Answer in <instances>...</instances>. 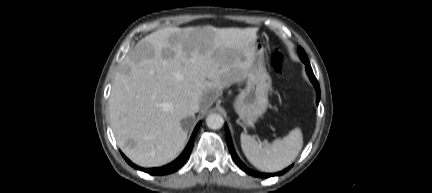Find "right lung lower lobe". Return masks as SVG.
I'll return each mask as SVG.
<instances>
[{"label": "right lung lower lobe", "mask_w": 432, "mask_h": 193, "mask_svg": "<svg viewBox=\"0 0 432 193\" xmlns=\"http://www.w3.org/2000/svg\"><path fill=\"white\" fill-rule=\"evenodd\" d=\"M200 124H201V122H199L198 124H197V126L195 127V129H194V131H193V134H192V136H191V138H190V141H189V143L187 144V146H186V148L184 149V151L182 152V154L175 160V161H173L172 163H170V164H168V165H165V166H163V167H159V168H151V169H144V168H141V167H138V166H136V165H134L131 161H129L123 154V157H124V159L132 166V167H134V168H136V169H138V170H142V171H144V172H147V173H149V174H151V175H163V174H169V173H172V172H174V171H176V170H178L184 163H185V161L187 160V158H188V156L190 155V153H191V150H192V147H193V143H194V138H195V135H196V133H197V131H198V129H199V126H200Z\"/></svg>", "instance_id": "right-lung-lower-lobe-1"}]
</instances>
